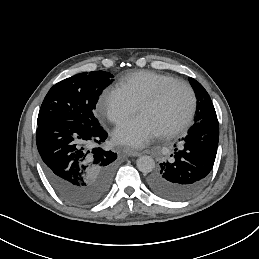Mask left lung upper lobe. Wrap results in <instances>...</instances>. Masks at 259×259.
Here are the masks:
<instances>
[{"instance_id": "5c2ea615", "label": "left lung upper lobe", "mask_w": 259, "mask_h": 259, "mask_svg": "<svg viewBox=\"0 0 259 259\" xmlns=\"http://www.w3.org/2000/svg\"><path fill=\"white\" fill-rule=\"evenodd\" d=\"M197 98L195 123L200 120L217 118L211 98L204 87L195 79L189 78Z\"/></svg>"}]
</instances>
